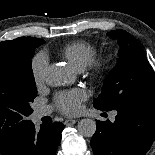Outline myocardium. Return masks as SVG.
<instances>
[{"instance_id": "obj_1", "label": "myocardium", "mask_w": 155, "mask_h": 155, "mask_svg": "<svg viewBox=\"0 0 155 155\" xmlns=\"http://www.w3.org/2000/svg\"><path fill=\"white\" fill-rule=\"evenodd\" d=\"M110 60L107 56L94 57L85 67L87 74L93 79H101L108 71Z\"/></svg>"}]
</instances>
